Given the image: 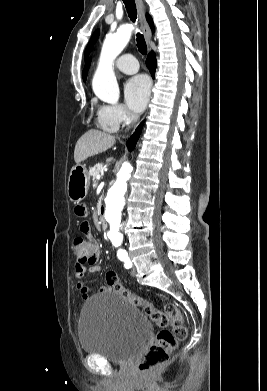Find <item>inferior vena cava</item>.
<instances>
[{"instance_id":"inferior-vena-cava-1","label":"inferior vena cava","mask_w":267,"mask_h":391,"mask_svg":"<svg viewBox=\"0 0 267 391\" xmlns=\"http://www.w3.org/2000/svg\"><path fill=\"white\" fill-rule=\"evenodd\" d=\"M130 118L133 120V121H136L138 119V115L137 114H134V113H130L129 114Z\"/></svg>"}]
</instances>
